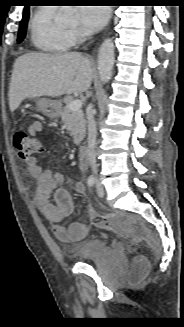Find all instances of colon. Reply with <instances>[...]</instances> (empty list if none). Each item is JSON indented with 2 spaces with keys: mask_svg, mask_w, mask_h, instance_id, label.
I'll use <instances>...</instances> for the list:
<instances>
[{
  "mask_svg": "<svg viewBox=\"0 0 184 327\" xmlns=\"http://www.w3.org/2000/svg\"><path fill=\"white\" fill-rule=\"evenodd\" d=\"M13 148L20 161L28 163L42 150L40 141L28 135L26 132L18 131L13 136ZM91 222L96 227L108 228L115 227L123 233H130L136 235H145V231L138 223H131L125 219L111 220L107 216L99 215L95 211L90 210ZM149 271V263L147 260L138 259L133 267L134 277H144Z\"/></svg>",
  "mask_w": 184,
  "mask_h": 327,
  "instance_id": "obj_1",
  "label": "colon"
}]
</instances>
